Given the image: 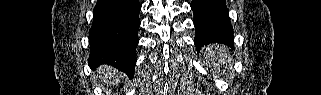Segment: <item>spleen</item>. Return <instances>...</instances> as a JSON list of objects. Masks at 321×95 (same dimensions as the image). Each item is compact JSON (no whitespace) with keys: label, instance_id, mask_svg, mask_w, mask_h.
I'll return each instance as SVG.
<instances>
[{"label":"spleen","instance_id":"spleen-1","mask_svg":"<svg viewBox=\"0 0 321 95\" xmlns=\"http://www.w3.org/2000/svg\"><path fill=\"white\" fill-rule=\"evenodd\" d=\"M204 57L214 72L226 69L231 65L230 54L224 45H210L205 48Z\"/></svg>","mask_w":321,"mask_h":95}]
</instances>
